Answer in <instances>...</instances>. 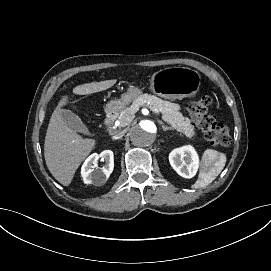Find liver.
Wrapping results in <instances>:
<instances>
[{"label": "liver", "mask_w": 271, "mask_h": 271, "mask_svg": "<svg viewBox=\"0 0 271 271\" xmlns=\"http://www.w3.org/2000/svg\"><path fill=\"white\" fill-rule=\"evenodd\" d=\"M116 81L113 79L79 85L73 89V93L86 95L100 92L112 87ZM66 103L67 97L64 96L50 118L44 143L46 165L53 177L64 186L71 183L75 171L95 146V140L83 139L67 127L60 109Z\"/></svg>", "instance_id": "6515ba94"}]
</instances>
